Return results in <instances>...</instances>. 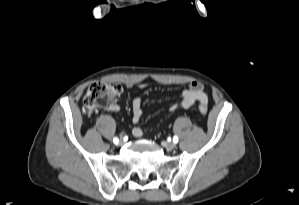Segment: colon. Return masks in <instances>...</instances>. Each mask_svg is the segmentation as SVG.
Returning a JSON list of instances; mask_svg holds the SVG:
<instances>
[{"instance_id":"5ec220e1","label":"colon","mask_w":299,"mask_h":205,"mask_svg":"<svg viewBox=\"0 0 299 205\" xmlns=\"http://www.w3.org/2000/svg\"><path fill=\"white\" fill-rule=\"evenodd\" d=\"M122 91V86L115 83L95 82L91 84L83 98L84 113L91 116L100 108L110 107L115 104ZM199 111L202 115H206L208 112L207 105L200 103Z\"/></svg>"}]
</instances>
